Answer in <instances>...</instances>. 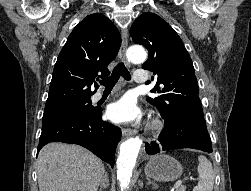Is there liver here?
<instances>
[{
	"mask_svg": "<svg viewBox=\"0 0 251 191\" xmlns=\"http://www.w3.org/2000/svg\"><path fill=\"white\" fill-rule=\"evenodd\" d=\"M104 171L99 157L74 143L52 141L37 157L40 191H97Z\"/></svg>",
	"mask_w": 251,
	"mask_h": 191,
	"instance_id": "6515ba94",
	"label": "liver"
}]
</instances>
